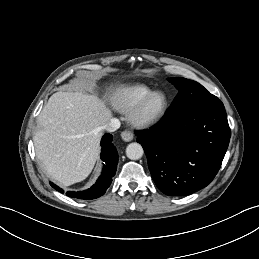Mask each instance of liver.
I'll use <instances>...</instances> for the list:
<instances>
[{
	"label": "liver",
	"instance_id": "liver-1",
	"mask_svg": "<svg viewBox=\"0 0 259 259\" xmlns=\"http://www.w3.org/2000/svg\"><path fill=\"white\" fill-rule=\"evenodd\" d=\"M112 118L95 94L56 92L38 116L34 135L37 158L46 174L62 186L86 179L100 152L102 125Z\"/></svg>",
	"mask_w": 259,
	"mask_h": 259
}]
</instances>
